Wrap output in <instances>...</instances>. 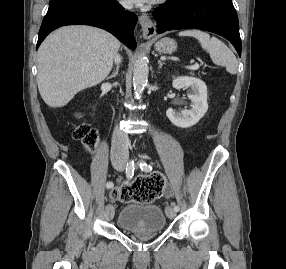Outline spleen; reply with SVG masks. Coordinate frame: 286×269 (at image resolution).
Segmentation results:
<instances>
[{
  "instance_id": "3e777b00",
  "label": "spleen",
  "mask_w": 286,
  "mask_h": 269,
  "mask_svg": "<svg viewBox=\"0 0 286 269\" xmlns=\"http://www.w3.org/2000/svg\"><path fill=\"white\" fill-rule=\"evenodd\" d=\"M179 36H191L196 38L201 47L206 50L212 61L224 66L230 74H236L238 62L233 52L218 38L210 37V35L200 30H185L179 32Z\"/></svg>"
}]
</instances>
